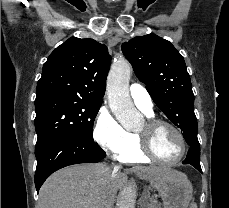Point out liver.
I'll return each mask as SVG.
<instances>
[{
	"label": "liver",
	"instance_id": "1",
	"mask_svg": "<svg viewBox=\"0 0 229 208\" xmlns=\"http://www.w3.org/2000/svg\"><path fill=\"white\" fill-rule=\"evenodd\" d=\"M146 174L180 178L181 172L169 166H134L120 172H110L105 164H76L52 174L39 192L38 208H112L117 190L127 182V174ZM104 202V204H102Z\"/></svg>",
	"mask_w": 229,
	"mask_h": 208
}]
</instances>
